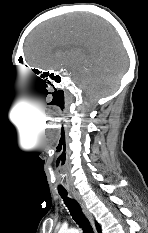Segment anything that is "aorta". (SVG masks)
Returning a JSON list of instances; mask_svg holds the SVG:
<instances>
[{
	"label": "aorta",
	"mask_w": 148,
	"mask_h": 233,
	"mask_svg": "<svg viewBox=\"0 0 148 233\" xmlns=\"http://www.w3.org/2000/svg\"><path fill=\"white\" fill-rule=\"evenodd\" d=\"M60 233H79V231L77 229H67V230H63Z\"/></svg>",
	"instance_id": "obj_1"
}]
</instances>
